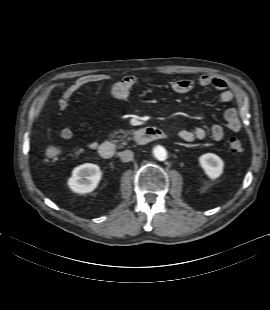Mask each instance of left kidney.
<instances>
[{"label": "left kidney", "mask_w": 270, "mask_h": 310, "mask_svg": "<svg viewBox=\"0 0 270 310\" xmlns=\"http://www.w3.org/2000/svg\"><path fill=\"white\" fill-rule=\"evenodd\" d=\"M199 163L205 174L210 179H216L221 176L224 169L223 160L213 153H206L199 157Z\"/></svg>", "instance_id": "obj_1"}]
</instances>
